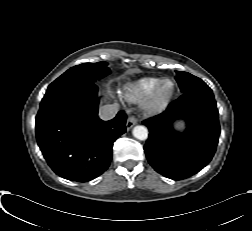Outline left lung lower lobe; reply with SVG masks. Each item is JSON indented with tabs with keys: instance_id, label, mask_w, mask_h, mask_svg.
I'll return each mask as SVG.
<instances>
[{
	"instance_id": "obj_1",
	"label": "left lung lower lobe",
	"mask_w": 252,
	"mask_h": 231,
	"mask_svg": "<svg viewBox=\"0 0 252 231\" xmlns=\"http://www.w3.org/2000/svg\"><path fill=\"white\" fill-rule=\"evenodd\" d=\"M187 128L178 133L176 119ZM150 131L144 151L150 165L174 180L199 172L212 159L218 144V110L211 89L185 92L161 114L143 121Z\"/></svg>"
}]
</instances>
